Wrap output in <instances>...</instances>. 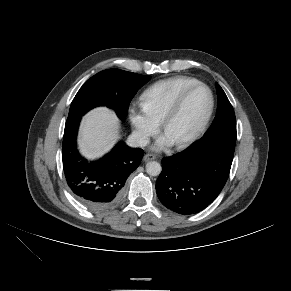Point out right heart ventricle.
<instances>
[{"instance_id": "obj_1", "label": "right heart ventricle", "mask_w": 291, "mask_h": 291, "mask_svg": "<svg viewBox=\"0 0 291 291\" xmlns=\"http://www.w3.org/2000/svg\"><path fill=\"white\" fill-rule=\"evenodd\" d=\"M199 81L189 76H175L160 80L144 90L140 97L141 107L160 123L179 94Z\"/></svg>"}]
</instances>
